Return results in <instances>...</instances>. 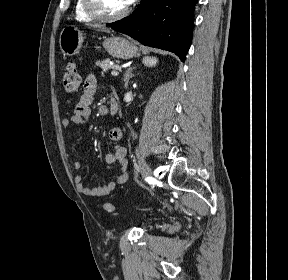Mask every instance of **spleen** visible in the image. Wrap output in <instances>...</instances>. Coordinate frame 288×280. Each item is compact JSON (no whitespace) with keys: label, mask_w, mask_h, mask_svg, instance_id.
<instances>
[{"label":"spleen","mask_w":288,"mask_h":280,"mask_svg":"<svg viewBox=\"0 0 288 280\" xmlns=\"http://www.w3.org/2000/svg\"><path fill=\"white\" fill-rule=\"evenodd\" d=\"M143 63L148 67H153L158 63V59L156 57H145Z\"/></svg>","instance_id":"1"}]
</instances>
